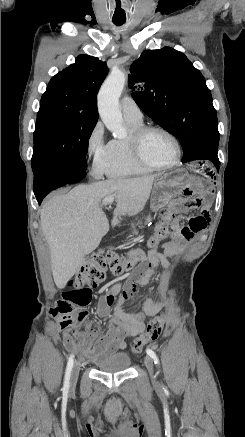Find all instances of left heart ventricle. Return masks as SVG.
Here are the masks:
<instances>
[{"label": "left heart ventricle", "mask_w": 245, "mask_h": 437, "mask_svg": "<svg viewBox=\"0 0 245 437\" xmlns=\"http://www.w3.org/2000/svg\"><path fill=\"white\" fill-rule=\"evenodd\" d=\"M141 151L150 162L167 165L174 161L176 149L173 142L159 131L148 132L142 139Z\"/></svg>", "instance_id": "1"}]
</instances>
